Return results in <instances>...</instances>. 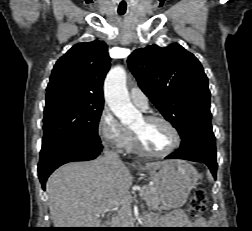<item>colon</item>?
Listing matches in <instances>:
<instances>
[{"instance_id":"colon-1","label":"colon","mask_w":252,"mask_h":231,"mask_svg":"<svg viewBox=\"0 0 252 231\" xmlns=\"http://www.w3.org/2000/svg\"><path fill=\"white\" fill-rule=\"evenodd\" d=\"M208 205L207 192L204 189H198L194 192L188 204V212L196 217L203 214Z\"/></svg>"}]
</instances>
